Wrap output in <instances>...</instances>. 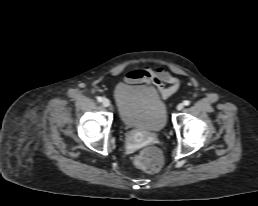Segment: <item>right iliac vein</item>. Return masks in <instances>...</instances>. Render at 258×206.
Listing matches in <instances>:
<instances>
[{
    "label": "right iliac vein",
    "mask_w": 258,
    "mask_h": 206,
    "mask_svg": "<svg viewBox=\"0 0 258 206\" xmlns=\"http://www.w3.org/2000/svg\"><path fill=\"white\" fill-rule=\"evenodd\" d=\"M102 104H103L104 107H109V106H110V101H109V99L104 98V99L102 100Z\"/></svg>",
    "instance_id": "1"
}]
</instances>
